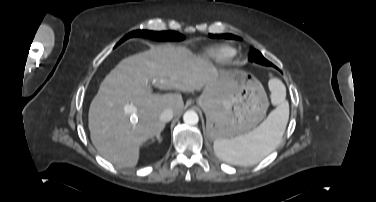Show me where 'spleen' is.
Here are the masks:
<instances>
[{
  "label": "spleen",
  "mask_w": 376,
  "mask_h": 202,
  "mask_svg": "<svg viewBox=\"0 0 376 202\" xmlns=\"http://www.w3.org/2000/svg\"><path fill=\"white\" fill-rule=\"evenodd\" d=\"M269 87L271 102L277 108L253 131L232 139L215 140L214 152L221 160L240 166L254 165L279 145L289 119V105L280 80L272 78Z\"/></svg>",
  "instance_id": "spleen-1"
}]
</instances>
